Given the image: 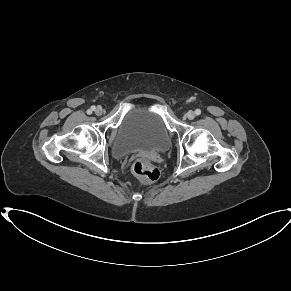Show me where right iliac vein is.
Returning <instances> with one entry per match:
<instances>
[{"mask_svg":"<svg viewBox=\"0 0 291 291\" xmlns=\"http://www.w3.org/2000/svg\"><path fill=\"white\" fill-rule=\"evenodd\" d=\"M102 111H103L102 107H100V106L95 108V114L98 115V116L102 114Z\"/></svg>","mask_w":291,"mask_h":291,"instance_id":"63e3f726","label":"right iliac vein"}]
</instances>
